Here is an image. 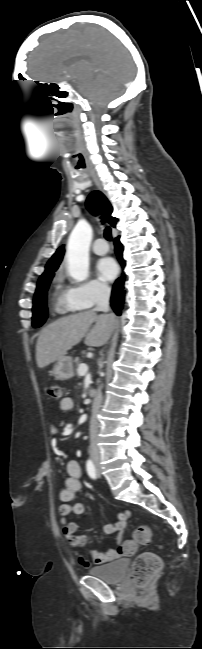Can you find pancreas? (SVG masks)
<instances>
[{
  "label": "pancreas",
  "mask_w": 202,
  "mask_h": 649,
  "mask_svg": "<svg viewBox=\"0 0 202 649\" xmlns=\"http://www.w3.org/2000/svg\"><path fill=\"white\" fill-rule=\"evenodd\" d=\"M81 364H82V363H80V362L77 363V371H76V375H78V376H79L78 368H79V366H80Z\"/></svg>",
  "instance_id": "pancreas-1"
}]
</instances>
